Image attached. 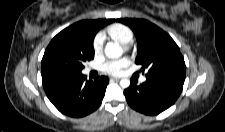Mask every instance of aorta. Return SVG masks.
I'll return each mask as SVG.
<instances>
[{
  "label": "aorta",
  "instance_id": "1",
  "mask_svg": "<svg viewBox=\"0 0 225 132\" xmlns=\"http://www.w3.org/2000/svg\"><path fill=\"white\" fill-rule=\"evenodd\" d=\"M104 53L108 58H118L122 55L123 49L118 43L109 42L105 47ZM120 86L122 88H128L130 86V80L121 79Z\"/></svg>",
  "mask_w": 225,
  "mask_h": 132
}]
</instances>
